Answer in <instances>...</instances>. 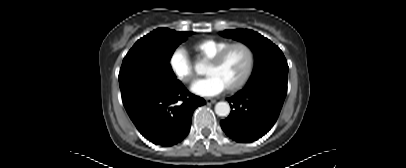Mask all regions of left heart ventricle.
Segmentation results:
<instances>
[{
  "mask_svg": "<svg viewBox=\"0 0 406 168\" xmlns=\"http://www.w3.org/2000/svg\"><path fill=\"white\" fill-rule=\"evenodd\" d=\"M247 63L246 49L236 46L225 55L218 66L207 64L205 74L215 76L227 88L240 80L246 70Z\"/></svg>",
  "mask_w": 406,
  "mask_h": 168,
  "instance_id": "b2bd125f",
  "label": "left heart ventricle"
}]
</instances>
